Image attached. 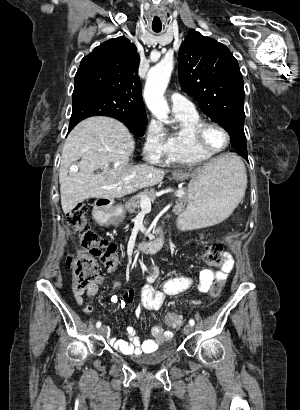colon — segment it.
<instances>
[{
    "label": "colon",
    "mask_w": 300,
    "mask_h": 410,
    "mask_svg": "<svg viewBox=\"0 0 300 410\" xmlns=\"http://www.w3.org/2000/svg\"><path fill=\"white\" fill-rule=\"evenodd\" d=\"M88 208L85 204H79L66 218V224L74 229L79 240L87 253L82 252L70 255L67 265L71 270L72 284L77 291L88 287L98 276V264L96 259L108 270H114L119 264L116 246L97 234L87 223ZM224 247L220 243L210 245L202 253V260L210 264H220L223 259ZM224 282H217L210 291L211 296H217L223 290ZM182 318L169 313L166 316V324L169 327H178Z\"/></svg>",
    "instance_id": "obj_1"
}]
</instances>
